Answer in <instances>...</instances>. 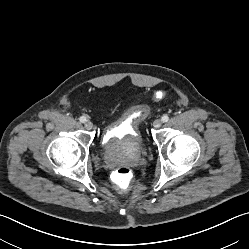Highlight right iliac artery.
Returning <instances> with one entry per match:
<instances>
[{"instance_id":"82829eb1","label":"right iliac artery","mask_w":249,"mask_h":249,"mask_svg":"<svg viewBox=\"0 0 249 249\" xmlns=\"http://www.w3.org/2000/svg\"><path fill=\"white\" fill-rule=\"evenodd\" d=\"M79 121L82 122V123H84V122L87 121V119H86L85 116H81V117L79 118Z\"/></svg>"}]
</instances>
